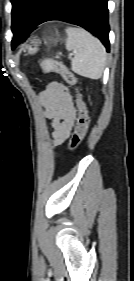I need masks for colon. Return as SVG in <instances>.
<instances>
[{
    "mask_svg": "<svg viewBox=\"0 0 134 281\" xmlns=\"http://www.w3.org/2000/svg\"><path fill=\"white\" fill-rule=\"evenodd\" d=\"M41 68L45 73H58L70 86L75 88L78 116L75 131L70 142V147L75 149L82 142L89 128V114L86 104L78 91L77 79L63 63L54 59L43 60Z\"/></svg>",
    "mask_w": 134,
    "mask_h": 281,
    "instance_id": "1",
    "label": "colon"
}]
</instances>
